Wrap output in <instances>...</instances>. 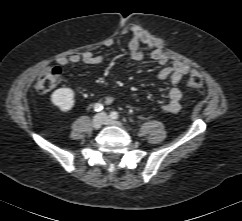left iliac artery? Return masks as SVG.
<instances>
[{
    "label": "left iliac artery",
    "instance_id": "1",
    "mask_svg": "<svg viewBox=\"0 0 242 221\" xmlns=\"http://www.w3.org/2000/svg\"><path fill=\"white\" fill-rule=\"evenodd\" d=\"M110 117L112 119H118L119 118V115H118V113L116 111H113V112H111Z\"/></svg>",
    "mask_w": 242,
    "mask_h": 221
}]
</instances>
